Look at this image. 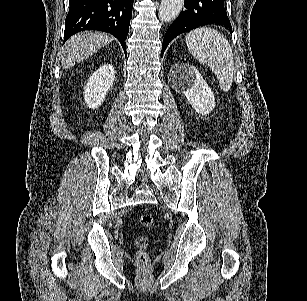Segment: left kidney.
Instances as JSON below:
<instances>
[{
    "label": "left kidney",
    "instance_id": "obj_1",
    "mask_svg": "<svg viewBox=\"0 0 307 301\" xmlns=\"http://www.w3.org/2000/svg\"><path fill=\"white\" fill-rule=\"evenodd\" d=\"M173 74L179 76L174 80V88H178L186 96L189 104L200 114H209L215 106V96L204 80L201 72L187 62L175 64L172 68Z\"/></svg>",
    "mask_w": 307,
    "mask_h": 301
}]
</instances>
